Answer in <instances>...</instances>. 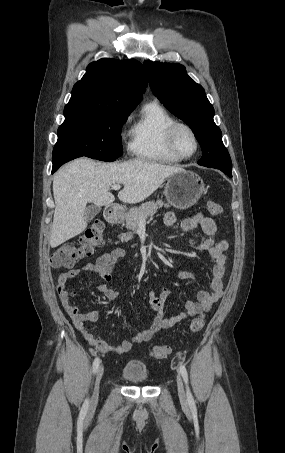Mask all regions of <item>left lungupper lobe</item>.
<instances>
[{"label": "left lung upper lobe", "instance_id": "obj_1", "mask_svg": "<svg viewBox=\"0 0 285 453\" xmlns=\"http://www.w3.org/2000/svg\"><path fill=\"white\" fill-rule=\"evenodd\" d=\"M144 67L154 95L194 132L202 149L198 164L232 174L231 158L203 87L186 74L182 65L148 61Z\"/></svg>", "mask_w": 285, "mask_h": 453}]
</instances>
